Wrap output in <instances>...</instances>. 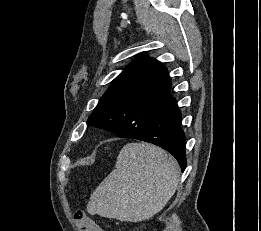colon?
Returning a JSON list of instances; mask_svg holds the SVG:
<instances>
[{"label":"colon","mask_w":261,"mask_h":231,"mask_svg":"<svg viewBox=\"0 0 261 231\" xmlns=\"http://www.w3.org/2000/svg\"><path fill=\"white\" fill-rule=\"evenodd\" d=\"M73 221L77 224L80 231L90 226V220L84 210L78 209L73 213Z\"/></svg>","instance_id":"obj_1"}]
</instances>
